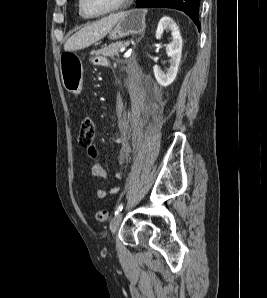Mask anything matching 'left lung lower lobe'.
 I'll use <instances>...</instances> for the list:
<instances>
[{
    "label": "left lung lower lobe",
    "instance_id": "left-lung-lower-lobe-1",
    "mask_svg": "<svg viewBox=\"0 0 267 298\" xmlns=\"http://www.w3.org/2000/svg\"><path fill=\"white\" fill-rule=\"evenodd\" d=\"M200 0H136L137 8H173L185 12L200 28L198 18Z\"/></svg>",
    "mask_w": 267,
    "mask_h": 298
}]
</instances>
